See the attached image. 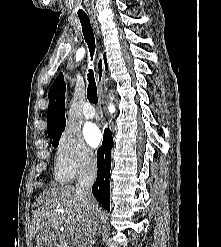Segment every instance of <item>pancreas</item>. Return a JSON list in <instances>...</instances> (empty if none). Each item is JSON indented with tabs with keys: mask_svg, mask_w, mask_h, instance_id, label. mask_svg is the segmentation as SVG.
<instances>
[{
	"mask_svg": "<svg viewBox=\"0 0 221 247\" xmlns=\"http://www.w3.org/2000/svg\"><path fill=\"white\" fill-rule=\"evenodd\" d=\"M62 247H70V244L68 242L64 241L62 243Z\"/></svg>",
	"mask_w": 221,
	"mask_h": 247,
	"instance_id": "pancreas-1",
	"label": "pancreas"
}]
</instances>
